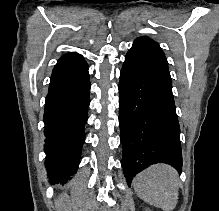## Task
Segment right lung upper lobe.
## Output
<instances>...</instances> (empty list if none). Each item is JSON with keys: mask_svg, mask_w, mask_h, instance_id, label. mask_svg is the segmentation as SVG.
I'll return each mask as SVG.
<instances>
[{"mask_svg": "<svg viewBox=\"0 0 219 211\" xmlns=\"http://www.w3.org/2000/svg\"><path fill=\"white\" fill-rule=\"evenodd\" d=\"M74 56H81L80 54H77L75 52L67 53L63 55L62 57H74Z\"/></svg>", "mask_w": 219, "mask_h": 211, "instance_id": "obj_1", "label": "right lung upper lobe"}]
</instances>
